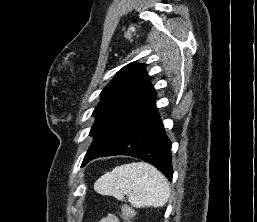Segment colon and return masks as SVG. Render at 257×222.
I'll return each instance as SVG.
<instances>
[{
    "instance_id": "colon-1",
    "label": "colon",
    "mask_w": 257,
    "mask_h": 222,
    "mask_svg": "<svg viewBox=\"0 0 257 222\" xmlns=\"http://www.w3.org/2000/svg\"><path fill=\"white\" fill-rule=\"evenodd\" d=\"M121 215L125 222H130L133 212L128 206H123L121 209Z\"/></svg>"
}]
</instances>
